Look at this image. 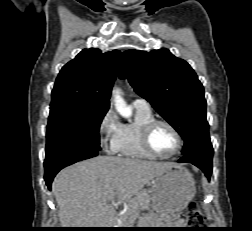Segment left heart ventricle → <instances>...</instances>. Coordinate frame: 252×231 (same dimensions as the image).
<instances>
[{
	"label": "left heart ventricle",
	"instance_id": "1",
	"mask_svg": "<svg viewBox=\"0 0 252 231\" xmlns=\"http://www.w3.org/2000/svg\"><path fill=\"white\" fill-rule=\"evenodd\" d=\"M151 145L161 155H170L177 148V140L165 125H157L151 133Z\"/></svg>",
	"mask_w": 252,
	"mask_h": 231
}]
</instances>
